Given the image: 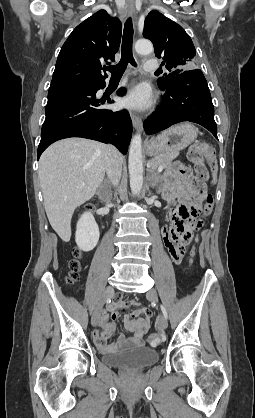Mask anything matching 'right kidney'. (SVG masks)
I'll list each match as a JSON object with an SVG mask.
<instances>
[{"instance_id":"obj_1","label":"right kidney","mask_w":255,"mask_h":418,"mask_svg":"<svg viewBox=\"0 0 255 418\" xmlns=\"http://www.w3.org/2000/svg\"><path fill=\"white\" fill-rule=\"evenodd\" d=\"M99 228L90 212L84 213L76 227L75 241L79 249L85 252L95 248L99 240Z\"/></svg>"}]
</instances>
